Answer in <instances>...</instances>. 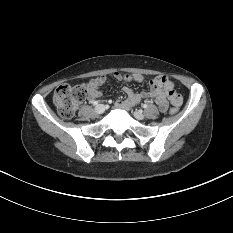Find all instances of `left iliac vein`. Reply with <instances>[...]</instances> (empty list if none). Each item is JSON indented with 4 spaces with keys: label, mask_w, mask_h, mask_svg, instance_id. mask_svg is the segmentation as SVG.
I'll return each mask as SVG.
<instances>
[{
    "label": "left iliac vein",
    "mask_w": 233,
    "mask_h": 233,
    "mask_svg": "<svg viewBox=\"0 0 233 233\" xmlns=\"http://www.w3.org/2000/svg\"><path fill=\"white\" fill-rule=\"evenodd\" d=\"M134 117L138 120H143L145 118L144 114L141 111H134Z\"/></svg>",
    "instance_id": "left-iliac-vein-1"
}]
</instances>
